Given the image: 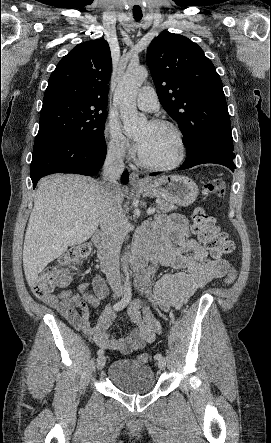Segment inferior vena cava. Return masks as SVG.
Masks as SVG:
<instances>
[{
  "label": "inferior vena cava",
  "mask_w": 271,
  "mask_h": 443,
  "mask_svg": "<svg viewBox=\"0 0 271 443\" xmlns=\"http://www.w3.org/2000/svg\"><path fill=\"white\" fill-rule=\"evenodd\" d=\"M124 156L125 146L122 142L111 144L104 162L102 180L97 186L107 204V214L100 222L101 229L107 231L109 235L108 245L100 261L101 271L106 273L111 289L116 291L114 296H123L122 286L119 284L121 283L119 253L127 227L121 216V206L118 204L120 186L117 180H120L124 170Z\"/></svg>",
  "instance_id": "602c4592"
}]
</instances>
